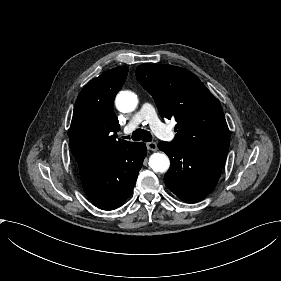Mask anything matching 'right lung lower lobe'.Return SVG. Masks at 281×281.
<instances>
[{
  "label": "right lung lower lobe",
  "mask_w": 281,
  "mask_h": 281,
  "mask_svg": "<svg viewBox=\"0 0 281 281\" xmlns=\"http://www.w3.org/2000/svg\"><path fill=\"white\" fill-rule=\"evenodd\" d=\"M145 156L146 145L131 142L111 159L81 162L78 170L87 197L103 210L120 207L133 192Z\"/></svg>",
  "instance_id": "98d812e1"
}]
</instances>
